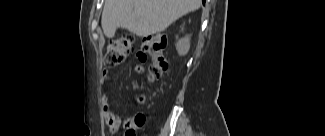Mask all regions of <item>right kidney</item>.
Segmentation results:
<instances>
[{
	"mask_svg": "<svg viewBox=\"0 0 325 136\" xmlns=\"http://www.w3.org/2000/svg\"><path fill=\"white\" fill-rule=\"evenodd\" d=\"M190 49V36L186 35L185 37L179 39L176 43V50L180 56H184L188 53Z\"/></svg>",
	"mask_w": 325,
	"mask_h": 136,
	"instance_id": "right-kidney-1",
	"label": "right kidney"
}]
</instances>
